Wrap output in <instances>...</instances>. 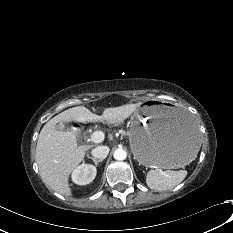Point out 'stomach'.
I'll return each mask as SVG.
<instances>
[{
  "label": "stomach",
  "mask_w": 233,
  "mask_h": 233,
  "mask_svg": "<svg viewBox=\"0 0 233 233\" xmlns=\"http://www.w3.org/2000/svg\"><path fill=\"white\" fill-rule=\"evenodd\" d=\"M130 147L142 165L179 168L200 149V135L191 115L171 102L148 101L130 118Z\"/></svg>",
  "instance_id": "1"
}]
</instances>
